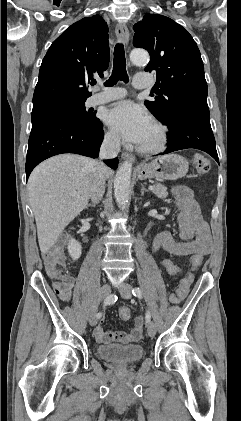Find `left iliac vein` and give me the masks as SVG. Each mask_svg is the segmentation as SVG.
I'll return each mask as SVG.
<instances>
[{
	"mask_svg": "<svg viewBox=\"0 0 241 421\" xmlns=\"http://www.w3.org/2000/svg\"><path fill=\"white\" fill-rule=\"evenodd\" d=\"M120 294L124 299H130L132 297V286L124 283L120 288ZM147 332L150 337H154L156 334V326L152 321L147 324Z\"/></svg>",
	"mask_w": 241,
	"mask_h": 421,
	"instance_id": "4c4485c4",
	"label": "left iliac vein"
}]
</instances>
